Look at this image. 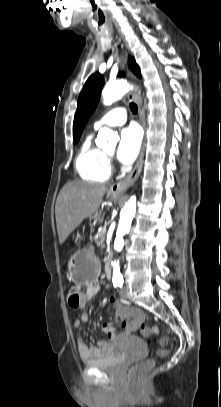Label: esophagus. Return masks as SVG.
Returning a JSON list of instances; mask_svg holds the SVG:
<instances>
[{"instance_id": "1", "label": "esophagus", "mask_w": 221, "mask_h": 407, "mask_svg": "<svg viewBox=\"0 0 221 407\" xmlns=\"http://www.w3.org/2000/svg\"><path fill=\"white\" fill-rule=\"evenodd\" d=\"M127 57L128 53L124 51V58L125 62L127 65ZM127 74L130 77V79L135 80V76L132 74V72L129 70L128 65H127ZM129 99L131 101H134L138 105H140V97L139 94L136 91H132L129 93ZM140 120L144 128H146V122H145V114L144 111L141 109L140 110ZM144 150H145V142H143V145L141 147V151L139 154V158L137 160L136 165L134 166L133 170L122 180L118 181L117 183L113 184L110 188V191L113 194H123L127 191V189L134 184V182L137 180L139 177L141 171H142V166H143V158H144Z\"/></svg>"}]
</instances>
